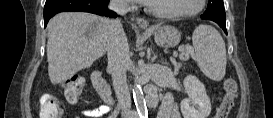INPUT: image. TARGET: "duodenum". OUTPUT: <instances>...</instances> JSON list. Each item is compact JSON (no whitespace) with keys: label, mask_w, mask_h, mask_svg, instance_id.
Instances as JSON below:
<instances>
[{"label":"duodenum","mask_w":273,"mask_h":118,"mask_svg":"<svg viewBox=\"0 0 273 118\" xmlns=\"http://www.w3.org/2000/svg\"><path fill=\"white\" fill-rule=\"evenodd\" d=\"M92 81L94 87L100 97L108 104L114 102V97L108 83L103 79L102 74L99 70H95L92 74Z\"/></svg>","instance_id":"obj_1"}]
</instances>
